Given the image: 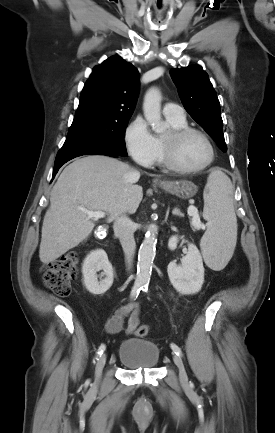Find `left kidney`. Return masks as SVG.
Masks as SVG:
<instances>
[{"mask_svg":"<svg viewBox=\"0 0 275 433\" xmlns=\"http://www.w3.org/2000/svg\"><path fill=\"white\" fill-rule=\"evenodd\" d=\"M179 239L172 236L168 246L170 250H175ZM167 272L173 287L182 294H195L201 290L204 282V267L202 256L198 248L188 243V252L181 260V265L170 262Z\"/></svg>","mask_w":275,"mask_h":433,"instance_id":"5707ae66","label":"left kidney"}]
</instances>
